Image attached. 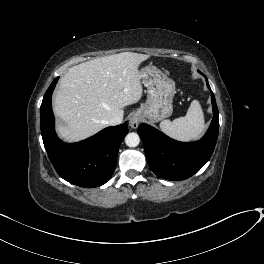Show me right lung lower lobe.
Instances as JSON below:
<instances>
[{
  "label": "right lung lower lobe",
  "instance_id": "right-lung-lower-lobe-1",
  "mask_svg": "<svg viewBox=\"0 0 264 264\" xmlns=\"http://www.w3.org/2000/svg\"><path fill=\"white\" fill-rule=\"evenodd\" d=\"M59 77L46 91L40 107L43 143L48 157L60 177L85 188L105 184L116 166L119 146L128 133L127 123L108 127L75 144H66L56 135L51 98Z\"/></svg>",
  "mask_w": 264,
  "mask_h": 264
}]
</instances>
